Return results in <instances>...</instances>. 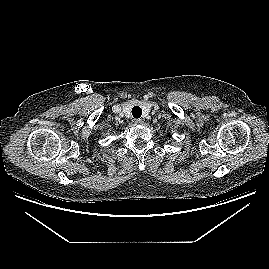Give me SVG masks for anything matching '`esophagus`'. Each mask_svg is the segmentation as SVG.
I'll use <instances>...</instances> for the list:
<instances>
[{
  "instance_id": "esophagus-1",
  "label": "esophagus",
  "mask_w": 269,
  "mask_h": 269,
  "mask_svg": "<svg viewBox=\"0 0 269 269\" xmlns=\"http://www.w3.org/2000/svg\"><path fill=\"white\" fill-rule=\"evenodd\" d=\"M134 123L138 124V125H141V124L144 123V121H143V119L137 118V119H134Z\"/></svg>"
}]
</instances>
